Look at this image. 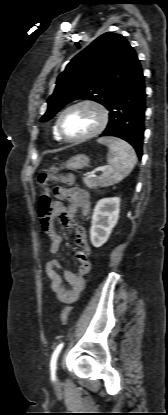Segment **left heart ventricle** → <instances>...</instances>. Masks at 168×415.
<instances>
[{
    "label": "left heart ventricle",
    "mask_w": 168,
    "mask_h": 415,
    "mask_svg": "<svg viewBox=\"0 0 168 415\" xmlns=\"http://www.w3.org/2000/svg\"><path fill=\"white\" fill-rule=\"evenodd\" d=\"M99 122L98 112L90 106H80L68 111L62 121L64 133L71 138L91 132Z\"/></svg>",
    "instance_id": "1"
}]
</instances>
